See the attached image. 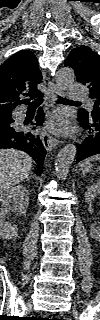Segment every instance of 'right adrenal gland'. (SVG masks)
<instances>
[{
    "label": "right adrenal gland",
    "mask_w": 100,
    "mask_h": 320,
    "mask_svg": "<svg viewBox=\"0 0 100 320\" xmlns=\"http://www.w3.org/2000/svg\"><path fill=\"white\" fill-rule=\"evenodd\" d=\"M32 174H33V173L30 174V176L27 178V180H29L31 177H33Z\"/></svg>",
    "instance_id": "1"
}]
</instances>
